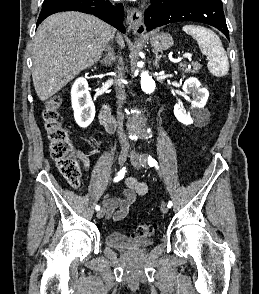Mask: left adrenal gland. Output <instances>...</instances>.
I'll return each mask as SVG.
<instances>
[{"mask_svg":"<svg viewBox=\"0 0 259 294\" xmlns=\"http://www.w3.org/2000/svg\"><path fill=\"white\" fill-rule=\"evenodd\" d=\"M155 54V60L153 62V65L156 67V69L159 68V61L161 60L162 57H165L164 55H159L158 52H154Z\"/></svg>","mask_w":259,"mask_h":294,"instance_id":"a2214340","label":"left adrenal gland"}]
</instances>
